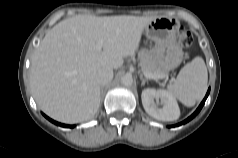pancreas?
<instances>
[{"label":"pancreas","instance_id":"pancreas-1","mask_svg":"<svg viewBox=\"0 0 238 158\" xmlns=\"http://www.w3.org/2000/svg\"><path fill=\"white\" fill-rule=\"evenodd\" d=\"M139 60H140L139 65L143 72L164 75L165 72L159 66L157 61L145 49H143L139 52Z\"/></svg>","mask_w":238,"mask_h":158}]
</instances>
